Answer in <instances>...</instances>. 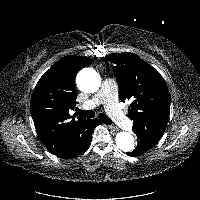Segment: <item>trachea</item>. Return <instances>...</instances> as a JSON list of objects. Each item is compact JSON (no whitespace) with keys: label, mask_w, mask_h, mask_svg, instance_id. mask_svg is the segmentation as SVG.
<instances>
[{"label":"trachea","mask_w":200,"mask_h":200,"mask_svg":"<svg viewBox=\"0 0 200 200\" xmlns=\"http://www.w3.org/2000/svg\"><path fill=\"white\" fill-rule=\"evenodd\" d=\"M76 113L84 118H93L95 116V113L92 110L83 111L76 108ZM99 119L106 125L112 124V121L105 114H99Z\"/></svg>","instance_id":"trachea-1"}]
</instances>
